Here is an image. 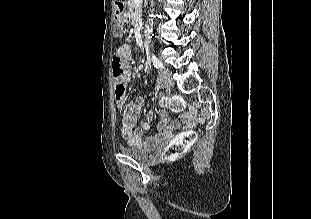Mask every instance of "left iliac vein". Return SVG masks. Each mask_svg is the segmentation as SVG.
<instances>
[{
  "label": "left iliac vein",
  "mask_w": 311,
  "mask_h": 219,
  "mask_svg": "<svg viewBox=\"0 0 311 219\" xmlns=\"http://www.w3.org/2000/svg\"><path fill=\"white\" fill-rule=\"evenodd\" d=\"M159 77L161 83L167 87L171 88L174 86L173 78H172V73L168 69H160L159 70Z\"/></svg>",
  "instance_id": "4c4485c4"
}]
</instances>
